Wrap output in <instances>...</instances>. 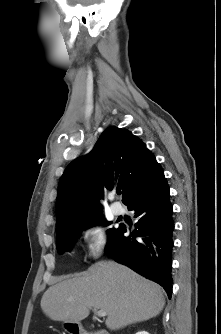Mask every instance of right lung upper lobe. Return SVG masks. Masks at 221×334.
<instances>
[{"label":"right lung upper lobe","mask_w":221,"mask_h":334,"mask_svg":"<svg viewBox=\"0 0 221 334\" xmlns=\"http://www.w3.org/2000/svg\"><path fill=\"white\" fill-rule=\"evenodd\" d=\"M163 175L146 145L129 130L108 127L93 151L73 160L60 178L56 200V232L101 216L104 188L123 190V203L149 188Z\"/></svg>","instance_id":"right-lung-upper-lobe-1"}]
</instances>
